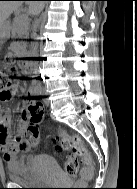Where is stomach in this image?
<instances>
[{"mask_svg": "<svg viewBox=\"0 0 137 189\" xmlns=\"http://www.w3.org/2000/svg\"><path fill=\"white\" fill-rule=\"evenodd\" d=\"M10 35L9 29L5 25L0 26V39H6Z\"/></svg>", "mask_w": 137, "mask_h": 189, "instance_id": "0dacf381", "label": "stomach"}]
</instances>
